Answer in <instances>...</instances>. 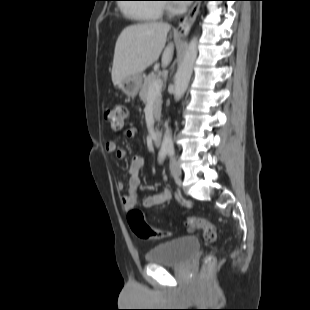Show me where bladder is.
Listing matches in <instances>:
<instances>
[{
	"label": "bladder",
	"mask_w": 310,
	"mask_h": 310,
	"mask_svg": "<svg viewBox=\"0 0 310 310\" xmlns=\"http://www.w3.org/2000/svg\"><path fill=\"white\" fill-rule=\"evenodd\" d=\"M199 242L192 236H183L159 243L149 249L146 260L149 264L181 266L191 261L199 252Z\"/></svg>",
	"instance_id": "1"
}]
</instances>
